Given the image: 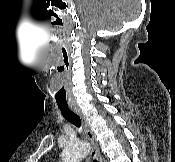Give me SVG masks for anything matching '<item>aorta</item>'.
<instances>
[{"label": "aorta", "instance_id": "1", "mask_svg": "<svg viewBox=\"0 0 175 162\" xmlns=\"http://www.w3.org/2000/svg\"><path fill=\"white\" fill-rule=\"evenodd\" d=\"M90 151V145L87 142H69L62 151L63 162H79Z\"/></svg>", "mask_w": 175, "mask_h": 162}]
</instances>
